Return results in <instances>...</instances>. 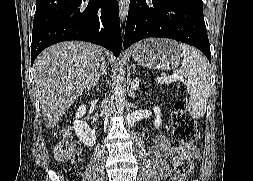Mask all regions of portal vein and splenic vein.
Masks as SVG:
<instances>
[{
    "label": "portal vein and splenic vein",
    "instance_id": "18ae733b",
    "mask_svg": "<svg viewBox=\"0 0 253 181\" xmlns=\"http://www.w3.org/2000/svg\"><path fill=\"white\" fill-rule=\"evenodd\" d=\"M180 79H181L180 76H178L177 74H174V75L167 77V78H161L158 80V82L171 83V82H174V81L180 80Z\"/></svg>",
    "mask_w": 253,
    "mask_h": 181
}]
</instances>
